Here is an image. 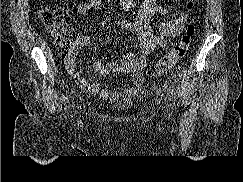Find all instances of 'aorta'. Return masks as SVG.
<instances>
[{
	"label": "aorta",
	"instance_id": "obj_1",
	"mask_svg": "<svg viewBox=\"0 0 243 182\" xmlns=\"http://www.w3.org/2000/svg\"><path fill=\"white\" fill-rule=\"evenodd\" d=\"M120 4L124 9L129 10L133 4V0H120Z\"/></svg>",
	"mask_w": 243,
	"mask_h": 182
}]
</instances>
